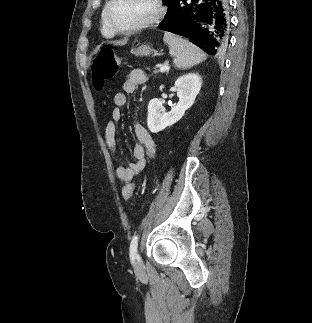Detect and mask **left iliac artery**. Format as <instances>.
Masks as SVG:
<instances>
[{"label":"left iliac artery","instance_id":"left-iliac-artery-1","mask_svg":"<svg viewBox=\"0 0 312 323\" xmlns=\"http://www.w3.org/2000/svg\"><path fill=\"white\" fill-rule=\"evenodd\" d=\"M137 246H138V236L135 235L130 243V258L131 260H134V258L137 256Z\"/></svg>","mask_w":312,"mask_h":323}]
</instances>
